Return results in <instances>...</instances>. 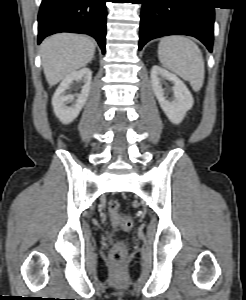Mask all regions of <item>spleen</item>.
<instances>
[{
	"label": "spleen",
	"mask_w": 246,
	"mask_h": 300,
	"mask_svg": "<svg viewBox=\"0 0 246 300\" xmlns=\"http://www.w3.org/2000/svg\"><path fill=\"white\" fill-rule=\"evenodd\" d=\"M160 63L166 69L189 81L194 91L204 82V60L199 47L189 38L174 35L161 39L158 46Z\"/></svg>",
	"instance_id": "1"
}]
</instances>
